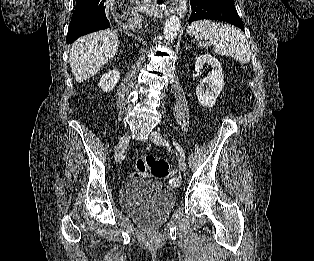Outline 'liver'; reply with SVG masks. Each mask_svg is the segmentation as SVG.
I'll list each match as a JSON object with an SVG mask.
<instances>
[{
  "label": "liver",
  "mask_w": 314,
  "mask_h": 261,
  "mask_svg": "<svg viewBox=\"0 0 314 261\" xmlns=\"http://www.w3.org/2000/svg\"><path fill=\"white\" fill-rule=\"evenodd\" d=\"M118 36L111 29L83 36L75 41L70 51L69 63L77 82L94 76L117 53Z\"/></svg>",
  "instance_id": "liver-1"
}]
</instances>
